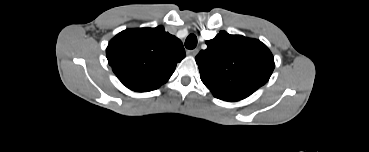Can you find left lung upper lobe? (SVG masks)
I'll list each match as a JSON object with an SVG mask.
<instances>
[{"instance_id": "left-lung-upper-lobe-1", "label": "left lung upper lobe", "mask_w": 369, "mask_h": 152, "mask_svg": "<svg viewBox=\"0 0 369 152\" xmlns=\"http://www.w3.org/2000/svg\"><path fill=\"white\" fill-rule=\"evenodd\" d=\"M196 56L200 78L216 98L242 100L264 85L274 70L270 50L259 40L221 31Z\"/></svg>"}]
</instances>
